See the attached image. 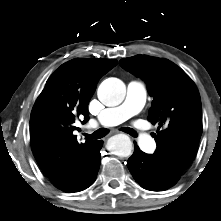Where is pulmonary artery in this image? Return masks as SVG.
I'll return each mask as SVG.
<instances>
[{
    "mask_svg": "<svg viewBox=\"0 0 221 221\" xmlns=\"http://www.w3.org/2000/svg\"><path fill=\"white\" fill-rule=\"evenodd\" d=\"M146 95V87L142 81L129 82L123 103L117 107L101 111L97 118L93 120V127L115 126L138 114L145 105ZM138 141L140 147L146 152H154L156 149L154 140L146 133H141Z\"/></svg>",
    "mask_w": 221,
    "mask_h": 221,
    "instance_id": "1",
    "label": "pulmonary artery"
}]
</instances>
